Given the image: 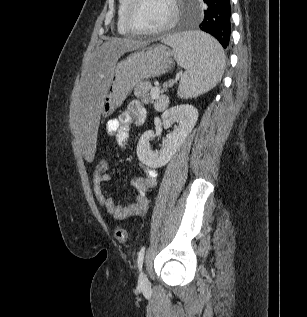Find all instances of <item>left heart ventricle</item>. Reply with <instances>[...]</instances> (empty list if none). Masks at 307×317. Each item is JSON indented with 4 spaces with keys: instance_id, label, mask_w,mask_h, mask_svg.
<instances>
[{
    "instance_id": "1",
    "label": "left heart ventricle",
    "mask_w": 307,
    "mask_h": 317,
    "mask_svg": "<svg viewBox=\"0 0 307 317\" xmlns=\"http://www.w3.org/2000/svg\"><path fill=\"white\" fill-rule=\"evenodd\" d=\"M171 16L169 0H137L131 10L133 25L142 30L163 25Z\"/></svg>"
}]
</instances>
